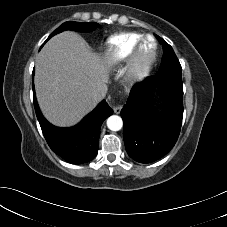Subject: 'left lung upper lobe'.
Returning a JSON list of instances; mask_svg holds the SVG:
<instances>
[{
  "label": "left lung upper lobe",
  "instance_id": "left-lung-upper-lobe-1",
  "mask_svg": "<svg viewBox=\"0 0 227 227\" xmlns=\"http://www.w3.org/2000/svg\"><path fill=\"white\" fill-rule=\"evenodd\" d=\"M156 37L159 40V42L162 44L163 53H164L158 74L160 75L172 74V75L181 77L182 68L172 47L161 37L157 35Z\"/></svg>",
  "mask_w": 227,
  "mask_h": 227
}]
</instances>
